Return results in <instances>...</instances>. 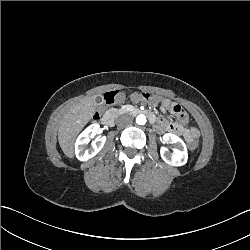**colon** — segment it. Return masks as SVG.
<instances>
[{"mask_svg": "<svg viewBox=\"0 0 250 250\" xmlns=\"http://www.w3.org/2000/svg\"><path fill=\"white\" fill-rule=\"evenodd\" d=\"M126 98V93L125 91H121V90H115V91H110L107 92L104 95L103 101L105 105H112L114 103L117 102H122L124 101ZM138 98L140 100H148V101H152V98L150 97V95L148 93H138ZM174 113L177 115V117L182 121V122H186L187 120V116L184 113L183 109L180 106H175L173 109ZM94 119L97 120L99 119V112H95L94 114ZM198 151V145L197 142L195 140H190L188 142V152L189 153H194Z\"/></svg>", "mask_w": 250, "mask_h": 250, "instance_id": "colon-1", "label": "colon"}]
</instances>
